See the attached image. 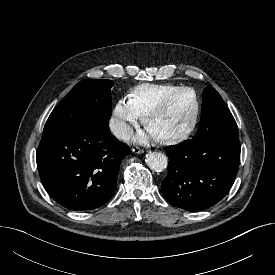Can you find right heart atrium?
I'll list each match as a JSON object with an SVG mask.
<instances>
[{"mask_svg":"<svg viewBox=\"0 0 275 275\" xmlns=\"http://www.w3.org/2000/svg\"><path fill=\"white\" fill-rule=\"evenodd\" d=\"M139 119V115L133 110L128 101L121 99L113 109L110 127L117 138L126 139Z\"/></svg>","mask_w":275,"mask_h":275,"instance_id":"right-heart-atrium-1","label":"right heart atrium"}]
</instances>
